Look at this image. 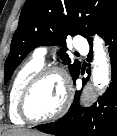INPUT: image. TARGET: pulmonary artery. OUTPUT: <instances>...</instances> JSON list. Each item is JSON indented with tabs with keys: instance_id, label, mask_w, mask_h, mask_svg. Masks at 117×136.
<instances>
[{
	"instance_id": "obj_1",
	"label": "pulmonary artery",
	"mask_w": 117,
	"mask_h": 136,
	"mask_svg": "<svg viewBox=\"0 0 117 136\" xmlns=\"http://www.w3.org/2000/svg\"><path fill=\"white\" fill-rule=\"evenodd\" d=\"M74 45H75L76 49H78L80 52L86 53L88 51V45H87L85 39L82 37H77L75 39ZM46 54H47V47L46 46H39L33 52V56L42 62L44 61Z\"/></svg>"
}]
</instances>
